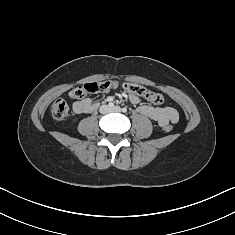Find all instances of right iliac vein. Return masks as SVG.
<instances>
[{
  "label": "right iliac vein",
  "instance_id": "right-iliac-vein-1",
  "mask_svg": "<svg viewBox=\"0 0 235 235\" xmlns=\"http://www.w3.org/2000/svg\"><path fill=\"white\" fill-rule=\"evenodd\" d=\"M103 110L107 112L109 110L108 106L107 105L103 106Z\"/></svg>",
  "mask_w": 235,
  "mask_h": 235
}]
</instances>
